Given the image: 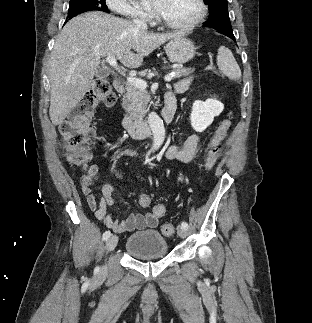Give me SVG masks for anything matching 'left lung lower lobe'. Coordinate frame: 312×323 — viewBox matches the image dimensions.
Listing matches in <instances>:
<instances>
[{
	"mask_svg": "<svg viewBox=\"0 0 312 323\" xmlns=\"http://www.w3.org/2000/svg\"><path fill=\"white\" fill-rule=\"evenodd\" d=\"M217 32H219L221 34H224V35L230 37L231 39H233L235 41V37L233 35V32H225V31H217Z\"/></svg>",
	"mask_w": 312,
	"mask_h": 323,
	"instance_id": "obj_1",
	"label": "left lung lower lobe"
}]
</instances>
